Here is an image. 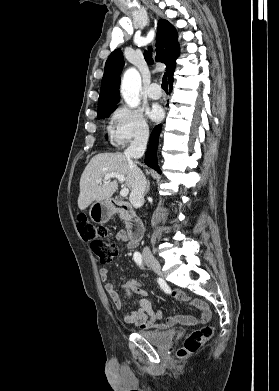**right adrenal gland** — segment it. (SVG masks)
I'll return each mask as SVG.
<instances>
[{"label":"right adrenal gland","mask_w":279,"mask_h":391,"mask_svg":"<svg viewBox=\"0 0 279 391\" xmlns=\"http://www.w3.org/2000/svg\"><path fill=\"white\" fill-rule=\"evenodd\" d=\"M149 190H150V181H149V180H147V181H146V190H145V195H147V193L149 192Z\"/></svg>","instance_id":"2a0ac1e0"}]
</instances>
